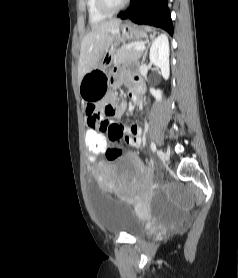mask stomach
I'll list each match as a JSON object with an SVG mask.
<instances>
[{
  "mask_svg": "<svg viewBox=\"0 0 238 278\" xmlns=\"http://www.w3.org/2000/svg\"><path fill=\"white\" fill-rule=\"evenodd\" d=\"M148 29L130 22L121 24L111 48L103 55L99 66L87 72L80 81L79 93L86 102L97 101L105 94L110 77L108 70L114 59V45L127 40H140L147 37Z\"/></svg>",
  "mask_w": 238,
  "mask_h": 278,
  "instance_id": "0dacf381",
  "label": "stomach"
}]
</instances>
